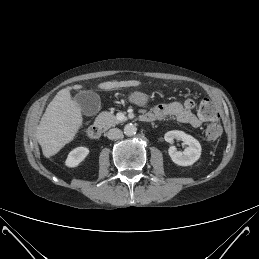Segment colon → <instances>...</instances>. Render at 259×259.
<instances>
[{"label": "colon", "mask_w": 259, "mask_h": 259, "mask_svg": "<svg viewBox=\"0 0 259 259\" xmlns=\"http://www.w3.org/2000/svg\"><path fill=\"white\" fill-rule=\"evenodd\" d=\"M200 112L204 116L208 117L210 119V122L207 124L205 128V136L208 140H215L217 139L221 134V126L216 121L217 119V113L210 102V100L205 99L201 103L200 106Z\"/></svg>", "instance_id": "1"}]
</instances>
